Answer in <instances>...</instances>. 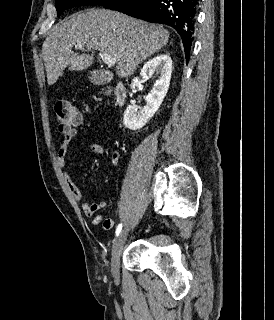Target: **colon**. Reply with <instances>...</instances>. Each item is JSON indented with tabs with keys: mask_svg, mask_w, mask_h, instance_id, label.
I'll use <instances>...</instances> for the list:
<instances>
[{
	"mask_svg": "<svg viewBox=\"0 0 274 320\" xmlns=\"http://www.w3.org/2000/svg\"><path fill=\"white\" fill-rule=\"evenodd\" d=\"M53 108L57 127L62 133H69V128L73 127V120H82L80 111L63 97L54 102Z\"/></svg>",
	"mask_w": 274,
	"mask_h": 320,
	"instance_id": "obj_1",
	"label": "colon"
}]
</instances>
